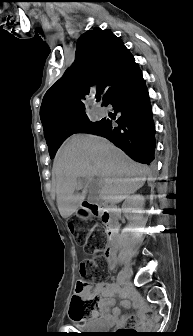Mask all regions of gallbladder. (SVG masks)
<instances>
[{"mask_svg": "<svg viewBox=\"0 0 193 336\" xmlns=\"http://www.w3.org/2000/svg\"><path fill=\"white\" fill-rule=\"evenodd\" d=\"M92 197H93V195H90V197H89V198L91 199Z\"/></svg>", "mask_w": 193, "mask_h": 336, "instance_id": "obj_1", "label": "gallbladder"}]
</instances>
